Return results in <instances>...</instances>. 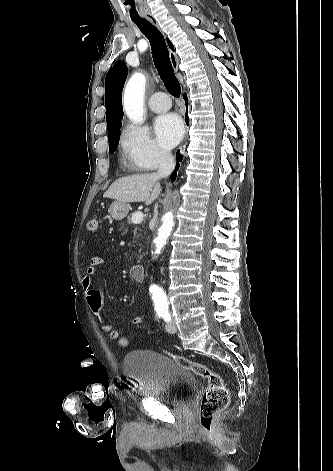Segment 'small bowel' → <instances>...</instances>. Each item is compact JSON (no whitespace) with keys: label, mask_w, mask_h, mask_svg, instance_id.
<instances>
[{"label":"small bowel","mask_w":333,"mask_h":471,"mask_svg":"<svg viewBox=\"0 0 333 471\" xmlns=\"http://www.w3.org/2000/svg\"><path fill=\"white\" fill-rule=\"evenodd\" d=\"M102 263L103 259L100 256H93L90 258L85 269V274L82 277V286L85 292V297L89 308L99 318L101 330L109 333L110 338L115 341L120 335V332L115 325L108 323L102 317L101 311L103 307V294L93 285V278L96 273L97 267L102 265ZM131 321L134 325H140L143 322L140 316H134Z\"/></svg>","instance_id":"obj_1"}]
</instances>
